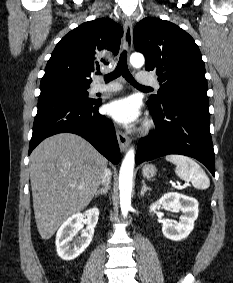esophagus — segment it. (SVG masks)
<instances>
[{
    "label": "esophagus",
    "instance_id": "esophagus-1",
    "mask_svg": "<svg viewBox=\"0 0 233 283\" xmlns=\"http://www.w3.org/2000/svg\"><path fill=\"white\" fill-rule=\"evenodd\" d=\"M133 44V23L130 18H126L124 22V38L123 45L128 53L132 50ZM116 135L121 151H125L130 144V137L124 134L121 130H116Z\"/></svg>",
    "mask_w": 233,
    "mask_h": 283
}]
</instances>
